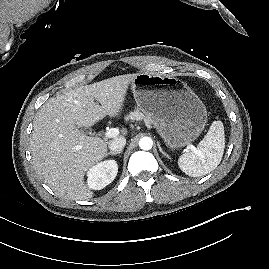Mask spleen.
<instances>
[{"label":"spleen","instance_id":"3e777b00","mask_svg":"<svg viewBox=\"0 0 269 269\" xmlns=\"http://www.w3.org/2000/svg\"><path fill=\"white\" fill-rule=\"evenodd\" d=\"M225 149L223 123L214 121L207 134L192 152L182 154L178 159L180 169L191 177L204 176L220 164Z\"/></svg>","mask_w":269,"mask_h":269}]
</instances>
